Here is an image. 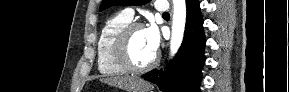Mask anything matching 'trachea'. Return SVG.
<instances>
[{
  "label": "trachea",
  "mask_w": 289,
  "mask_h": 92,
  "mask_svg": "<svg viewBox=\"0 0 289 92\" xmlns=\"http://www.w3.org/2000/svg\"><path fill=\"white\" fill-rule=\"evenodd\" d=\"M163 16H169L168 12L163 13Z\"/></svg>",
  "instance_id": "1"
}]
</instances>
